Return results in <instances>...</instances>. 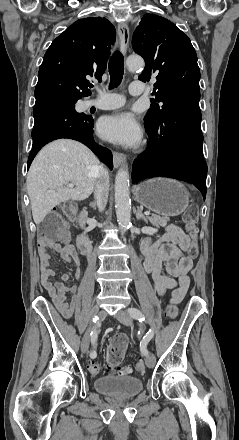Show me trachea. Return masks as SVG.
I'll use <instances>...</instances> for the list:
<instances>
[{
  "instance_id": "3493384b",
  "label": "trachea",
  "mask_w": 239,
  "mask_h": 440,
  "mask_svg": "<svg viewBox=\"0 0 239 440\" xmlns=\"http://www.w3.org/2000/svg\"><path fill=\"white\" fill-rule=\"evenodd\" d=\"M108 68L110 74L109 88H116L121 84L124 75V57L118 50L111 56ZM92 87L93 85L90 86V88Z\"/></svg>"
}]
</instances>
